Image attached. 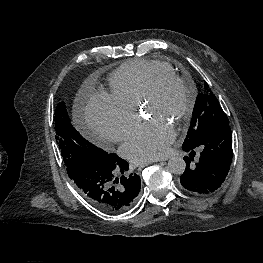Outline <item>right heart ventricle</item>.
<instances>
[{
  "instance_id": "e07e8e85",
  "label": "right heart ventricle",
  "mask_w": 263,
  "mask_h": 263,
  "mask_svg": "<svg viewBox=\"0 0 263 263\" xmlns=\"http://www.w3.org/2000/svg\"><path fill=\"white\" fill-rule=\"evenodd\" d=\"M175 73L165 62L132 59L123 63L109 77L111 95L124 105L137 109L142 96L160 74Z\"/></svg>"
}]
</instances>
